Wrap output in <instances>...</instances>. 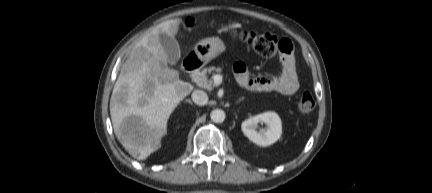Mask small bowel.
I'll use <instances>...</instances> for the list:
<instances>
[{"label":"small bowel","instance_id":"obj_1","mask_svg":"<svg viewBox=\"0 0 432 193\" xmlns=\"http://www.w3.org/2000/svg\"><path fill=\"white\" fill-rule=\"evenodd\" d=\"M237 83L254 92H277L292 95L299 88V76L292 54L282 56V71L269 76L252 77L246 65L237 61L233 66Z\"/></svg>","mask_w":432,"mask_h":193}]
</instances>
